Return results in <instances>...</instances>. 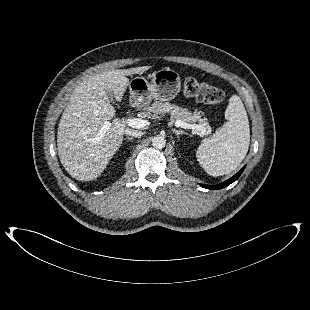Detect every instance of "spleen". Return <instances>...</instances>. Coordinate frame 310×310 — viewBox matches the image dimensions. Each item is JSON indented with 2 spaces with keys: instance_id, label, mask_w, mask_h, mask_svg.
Wrapping results in <instances>:
<instances>
[{
  "instance_id": "obj_1",
  "label": "spleen",
  "mask_w": 310,
  "mask_h": 310,
  "mask_svg": "<svg viewBox=\"0 0 310 310\" xmlns=\"http://www.w3.org/2000/svg\"><path fill=\"white\" fill-rule=\"evenodd\" d=\"M225 118L227 122L212 137L203 140L196 151L199 164L211 176L234 171L249 148V121L239 96L230 97Z\"/></svg>"
}]
</instances>
